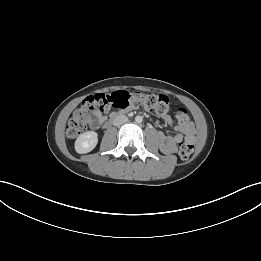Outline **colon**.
<instances>
[{
    "mask_svg": "<svg viewBox=\"0 0 261 261\" xmlns=\"http://www.w3.org/2000/svg\"><path fill=\"white\" fill-rule=\"evenodd\" d=\"M170 101L165 95L144 93L141 91H116L110 94H96L83 100L81 106L74 111L66 126L68 138H76L87 130L90 119L97 112H105L111 107L118 109L144 108L154 110L159 114L168 111ZM173 118L180 124L188 123L190 117L188 110L177 106L173 111ZM194 152L192 141H184L179 145V156L187 160Z\"/></svg>",
    "mask_w": 261,
    "mask_h": 261,
    "instance_id": "1",
    "label": "colon"
}]
</instances>
